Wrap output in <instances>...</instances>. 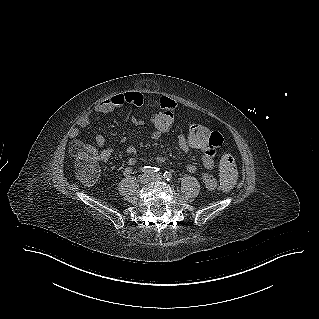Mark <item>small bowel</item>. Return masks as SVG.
I'll use <instances>...</instances> for the list:
<instances>
[{
    "mask_svg": "<svg viewBox=\"0 0 319 319\" xmlns=\"http://www.w3.org/2000/svg\"><path fill=\"white\" fill-rule=\"evenodd\" d=\"M145 103V97L141 92L138 91H130L125 93H120L114 96H111L103 101H101L94 109V113L98 116L104 115L106 113H109L119 107H122L124 105H133V106H142ZM155 111L162 113H174L175 112V100L174 99H167V98H160L158 100V105L155 106ZM91 117L90 114H86L82 116L78 121L77 128H74L70 131L69 137L70 139H75L78 137L79 132L81 129H85L90 125ZM133 124H139V121L137 119H132ZM162 134H154L151 133V137L153 139H157ZM210 140L203 146V154L201 156V162L203 167L205 168L206 172L203 173L202 179L205 184V186L213 190L217 187V179L213 176V174L210 173V170L214 167V158L216 155V151L219 149L220 144L223 141V131L222 129H211L210 131ZM105 143V139L103 135L96 134L95 136V144L98 147H103ZM86 144V143H84ZM88 145V144H87ZM179 145L181 149L187 153L190 148L184 143L182 139V134L179 136ZM114 153L113 149L110 148H104L99 151H96V156L99 160L107 161L110 159L112 154ZM126 153L129 156L127 160V167L125 168V173L129 174L132 171V167L136 164L137 159V150L133 146H129L126 149ZM158 162H165L167 160L166 157L159 156L156 159ZM196 166L194 164H189L187 166V170L189 172H195ZM221 180V177H220Z\"/></svg>",
    "mask_w": 319,
    "mask_h": 319,
    "instance_id": "1",
    "label": "small bowel"
}]
</instances>
